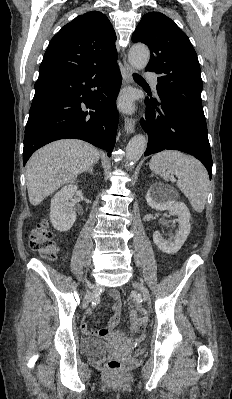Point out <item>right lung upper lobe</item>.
I'll return each instance as SVG.
<instances>
[{
	"mask_svg": "<svg viewBox=\"0 0 232 399\" xmlns=\"http://www.w3.org/2000/svg\"><path fill=\"white\" fill-rule=\"evenodd\" d=\"M116 34L99 11L66 24L50 41L39 71L82 70L117 60Z\"/></svg>",
	"mask_w": 232,
	"mask_h": 399,
	"instance_id": "cb5924a9",
	"label": "right lung upper lobe"
}]
</instances>
